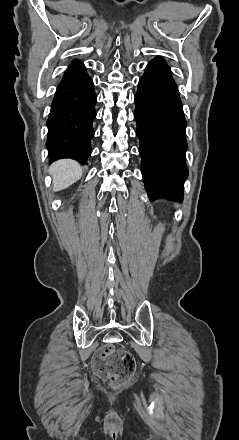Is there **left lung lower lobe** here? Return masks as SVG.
<instances>
[{"label":"left lung lower lobe","instance_id":"left-lung-lower-lobe-1","mask_svg":"<svg viewBox=\"0 0 239 440\" xmlns=\"http://www.w3.org/2000/svg\"><path fill=\"white\" fill-rule=\"evenodd\" d=\"M141 171L151 200H183L188 176L186 120L178 87L162 58L148 63L135 96Z\"/></svg>","mask_w":239,"mask_h":440}]
</instances>
